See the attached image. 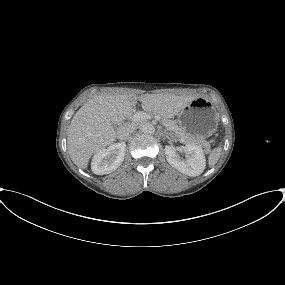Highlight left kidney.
Here are the masks:
<instances>
[{
	"instance_id": "5707ae66",
	"label": "left kidney",
	"mask_w": 285,
	"mask_h": 285,
	"mask_svg": "<svg viewBox=\"0 0 285 285\" xmlns=\"http://www.w3.org/2000/svg\"><path fill=\"white\" fill-rule=\"evenodd\" d=\"M184 152L189 154L190 157L186 160H181L174 147H165L166 159L172 167L188 176L195 177L200 175L206 166V159L202 148L195 144H186Z\"/></svg>"
}]
</instances>
